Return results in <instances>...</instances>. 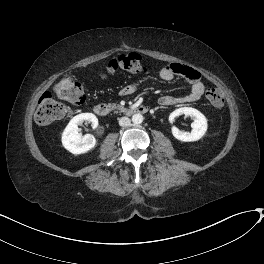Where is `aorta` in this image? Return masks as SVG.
Returning a JSON list of instances; mask_svg holds the SVG:
<instances>
[{
  "mask_svg": "<svg viewBox=\"0 0 264 264\" xmlns=\"http://www.w3.org/2000/svg\"><path fill=\"white\" fill-rule=\"evenodd\" d=\"M143 115L142 114H140V113H137V114H134L133 116H132V122H133V124L134 125H139V124H141L142 122H143Z\"/></svg>",
  "mask_w": 264,
  "mask_h": 264,
  "instance_id": "obj_1",
  "label": "aorta"
}]
</instances>
